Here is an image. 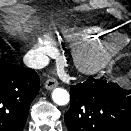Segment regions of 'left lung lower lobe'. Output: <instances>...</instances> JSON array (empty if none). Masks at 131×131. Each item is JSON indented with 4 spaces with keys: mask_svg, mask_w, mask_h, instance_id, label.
I'll return each instance as SVG.
<instances>
[{
    "mask_svg": "<svg viewBox=\"0 0 131 131\" xmlns=\"http://www.w3.org/2000/svg\"><path fill=\"white\" fill-rule=\"evenodd\" d=\"M69 131H131V90L104 79L70 87Z\"/></svg>",
    "mask_w": 131,
    "mask_h": 131,
    "instance_id": "obj_1",
    "label": "left lung lower lobe"
}]
</instances>
